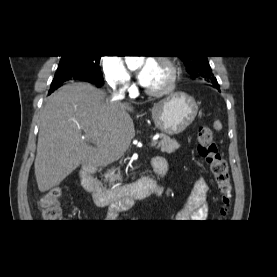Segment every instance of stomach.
<instances>
[{"instance_id":"0dacf381","label":"stomach","mask_w":277,"mask_h":277,"mask_svg":"<svg viewBox=\"0 0 277 277\" xmlns=\"http://www.w3.org/2000/svg\"><path fill=\"white\" fill-rule=\"evenodd\" d=\"M197 112L195 99L184 92L170 94L151 109L155 127L169 136L183 132L194 121Z\"/></svg>"}]
</instances>
